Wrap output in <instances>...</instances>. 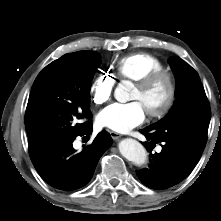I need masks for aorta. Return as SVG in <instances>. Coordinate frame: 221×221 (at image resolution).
<instances>
[{
    "mask_svg": "<svg viewBox=\"0 0 221 221\" xmlns=\"http://www.w3.org/2000/svg\"><path fill=\"white\" fill-rule=\"evenodd\" d=\"M131 83L125 81L115 89L114 96L120 102H125L128 100ZM119 151L123 157L133 162L135 165L141 166L147 161V152L143 145L138 141L126 138L122 140L119 145Z\"/></svg>",
    "mask_w": 221,
    "mask_h": 221,
    "instance_id": "762f6f07",
    "label": "aorta"
}]
</instances>
